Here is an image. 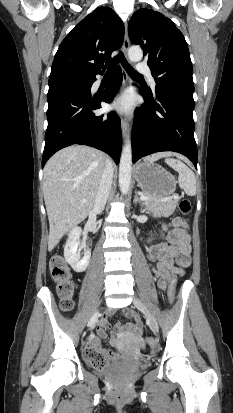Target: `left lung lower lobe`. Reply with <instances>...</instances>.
Returning a JSON list of instances; mask_svg holds the SVG:
<instances>
[{
	"label": "left lung lower lobe",
	"instance_id": "obj_1",
	"mask_svg": "<svg viewBox=\"0 0 233 413\" xmlns=\"http://www.w3.org/2000/svg\"><path fill=\"white\" fill-rule=\"evenodd\" d=\"M140 94L147 104L137 109L134 118L133 162L155 152L174 151L188 157L197 168L193 95L165 85H156L154 96L142 88Z\"/></svg>",
	"mask_w": 233,
	"mask_h": 413
}]
</instances>
